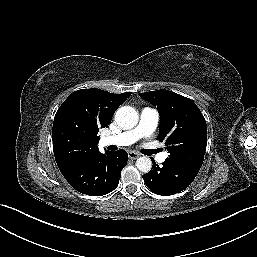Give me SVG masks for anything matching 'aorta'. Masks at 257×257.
Masks as SVG:
<instances>
[{
  "instance_id": "obj_1",
  "label": "aorta",
  "mask_w": 257,
  "mask_h": 257,
  "mask_svg": "<svg viewBox=\"0 0 257 257\" xmlns=\"http://www.w3.org/2000/svg\"><path fill=\"white\" fill-rule=\"evenodd\" d=\"M115 120L121 128L131 129L137 125L139 116L133 107L123 106L116 111ZM136 167L139 171L147 173L152 168V161L148 157H140L136 160Z\"/></svg>"
}]
</instances>
